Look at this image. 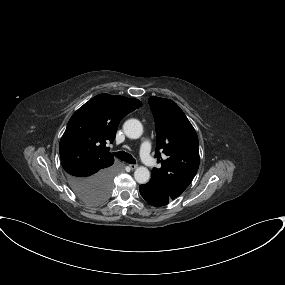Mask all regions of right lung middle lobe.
I'll return each mask as SVG.
<instances>
[{
  "label": "right lung middle lobe",
  "instance_id": "right-lung-middle-lobe-1",
  "mask_svg": "<svg viewBox=\"0 0 285 285\" xmlns=\"http://www.w3.org/2000/svg\"><path fill=\"white\" fill-rule=\"evenodd\" d=\"M111 189L108 188H90L77 192V196L84 202L90 204H99L105 201L110 195Z\"/></svg>",
  "mask_w": 285,
  "mask_h": 285
}]
</instances>
